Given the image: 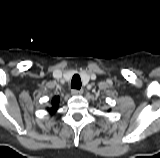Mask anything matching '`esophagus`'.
Masks as SVG:
<instances>
[{
  "label": "esophagus",
  "mask_w": 160,
  "mask_h": 158,
  "mask_svg": "<svg viewBox=\"0 0 160 158\" xmlns=\"http://www.w3.org/2000/svg\"><path fill=\"white\" fill-rule=\"evenodd\" d=\"M71 93L73 95H80L83 93V90L82 89H72Z\"/></svg>",
  "instance_id": "1"
}]
</instances>
